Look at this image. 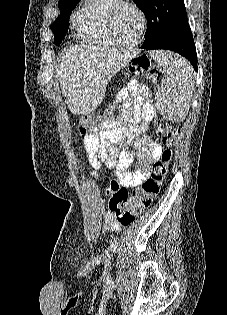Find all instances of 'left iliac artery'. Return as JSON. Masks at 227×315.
<instances>
[{"label":"left iliac artery","mask_w":227,"mask_h":315,"mask_svg":"<svg viewBox=\"0 0 227 315\" xmlns=\"http://www.w3.org/2000/svg\"><path fill=\"white\" fill-rule=\"evenodd\" d=\"M118 242L117 240H114L111 244V251L114 252L117 249Z\"/></svg>","instance_id":"44dca946"}]
</instances>
